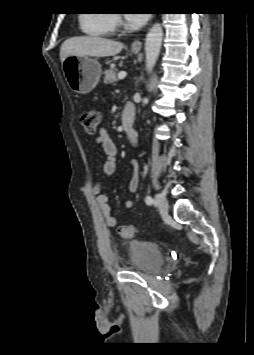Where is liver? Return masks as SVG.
Returning <instances> with one entry per match:
<instances>
[{"label":"liver","instance_id":"6515ba94","mask_svg":"<svg viewBox=\"0 0 254 355\" xmlns=\"http://www.w3.org/2000/svg\"><path fill=\"white\" fill-rule=\"evenodd\" d=\"M123 44L102 37L79 36L64 41L60 48V59L63 62L69 56H114L121 52Z\"/></svg>","mask_w":254,"mask_h":355}]
</instances>
